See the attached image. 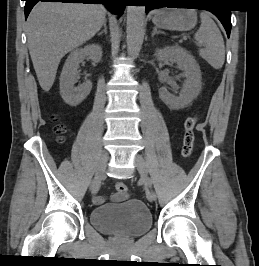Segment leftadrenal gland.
Masks as SVG:
<instances>
[{
    "label": "left adrenal gland",
    "mask_w": 259,
    "mask_h": 266,
    "mask_svg": "<svg viewBox=\"0 0 259 266\" xmlns=\"http://www.w3.org/2000/svg\"><path fill=\"white\" fill-rule=\"evenodd\" d=\"M156 34H164L162 31H158L156 27L153 28L152 37Z\"/></svg>",
    "instance_id": "left-adrenal-gland-1"
}]
</instances>
